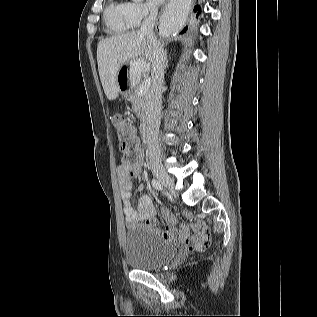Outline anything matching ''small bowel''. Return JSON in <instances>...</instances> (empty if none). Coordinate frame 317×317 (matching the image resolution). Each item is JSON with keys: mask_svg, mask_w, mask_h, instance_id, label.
<instances>
[{"mask_svg": "<svg viewBox=\"0 0 317 317\" xmlns=\"http://www.w3.org/2000/svg\"><path fill=\"white\" fill-rule=\"evenodd\" d=\"M118 176L126 223L132 226L139 222H145L147 227L154 234H159V231L154 227L153 219L155 216V211L152 207L151 199L148 195L142 193L145 189V186L141 184L138 187L139 194L136 199L137 208L134 209L131 203V190L133 182L129 176V172L125 164L118 167ZM162 215L168 224L166 229L161 234L165 240L181 239L189 244L190 242L201 241L208 235L206 224L197 218L192 217L191 227L194 234L190 236L187 228L184 225H180L178 228L175 227L177 224V219L174 215L165 210H162Z\"/></svg>", "mask_w": 317, "mask_h": 317, "instance_id": "obj_1", "label": "small bowel"}]
</instances>
